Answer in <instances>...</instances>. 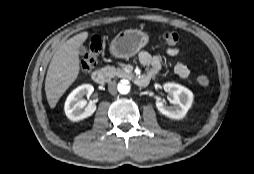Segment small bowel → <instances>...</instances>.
<instances>
[{
    "label": "small bowel",
    "instance_id": "c3829d8e",
    "mask_svg": "<svg viewBox=\"0 0 254 174\" xmlns=\"http://www.w3.org/2000/svg\"><path fill=\"white\" fill-rule=\"evenodd\" d=\"M167 56L174 57L179 54V48L169 47L165 51ZM139 62L149 68L147 75L154 76L156 75L164 64V57L161 55L152 56L147 51H141L138 54ZM174 72L181 78H187L190 74L189 68L180 62H177L174 65Z\"/></svg>",
    "mask_w": 254,
    "mask_h": 174
}]
</instances>
